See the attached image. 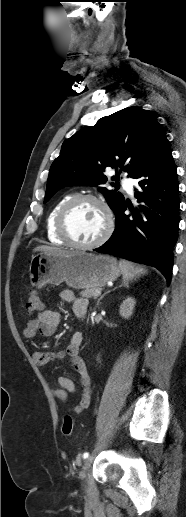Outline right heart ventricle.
I'll use <instances>...</instances> for the list:
<instances>
[{
  "instance_id": "obj_1",
  "label": "right heart ventricle",
  "mask_w": 186,
  "mask_h": 517,
  "mask_svg": "<svg viewBox=\"0 0 186 517\" xmlns=\"http://www.w3.org/2000/svg\"><path fill=\"white\" fill-rule=\"evenodd\" d=\"M72 197H73L72 194H66V195L62 196L50 208V210L46 216V220H45L46 236H47V239L53 244H57V245L66 244V242L57 233L56 220H57L59 211L61 210L63 205Z\"/></svg>"
}]
</instances>
